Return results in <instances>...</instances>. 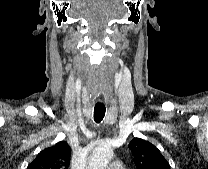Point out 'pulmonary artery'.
I'll return each instance as SVG.
<instances>
[{"label": "pulmonary artery", "mask_w": 208, "mask_h": 169, "mask_svg": "<svg viewBox=\"0 0 208 169\" xmlns=\"http://www.w3.org/2000/svg\"><path fill=\"white\" fill-rule=\"evenodd\" d=\"M109 169H125V166L120 161H113L109 166Z\"/></svg>", "instance_id": "e3ab8cb5"}]
</instances>
